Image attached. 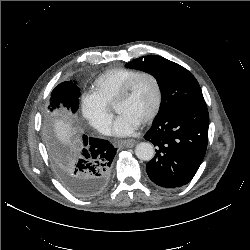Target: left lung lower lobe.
Segmentation results:
<instances>
[{"label":"left lung lower lobe","mask_w":250,"mask_h":250,"mask_svg":"<svg viewBox=\"0 0 250 250\" xmlns=\"http://www.w3.org/2000/svg\"><path fill=\"white\" fill-rule=\"evenodd\" d=\"M209 114L205 101L182 106L154 119L144 136L156 146L155 157L146 165L149 178L164 188L189 183L206 153Z\"/></svg>","instance_id":"1"}]
</instances>
